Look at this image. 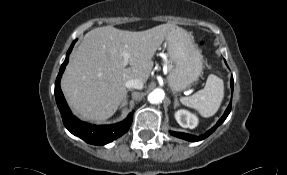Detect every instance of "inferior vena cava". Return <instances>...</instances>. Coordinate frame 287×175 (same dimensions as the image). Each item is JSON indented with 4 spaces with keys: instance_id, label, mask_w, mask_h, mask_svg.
I'll return each instance as SVG.
<instances>
[{
    "instance_id": "602c4592",
    "label": "inferior vena cava",
    "mask_w": 287,
    "mask_h": 175,
    "mask_svg": "<svg viewBox=\"0 0 287 175\" xmlns=\"http://www.w3.org/2000/svg\"><path fill=\"white\" fill-rule=\"evenodd\" d=\"M125 86L127 88H135V89H142L143 88V81L140 79H130L126 81Z\"/></svg>"
}]
</instances>
